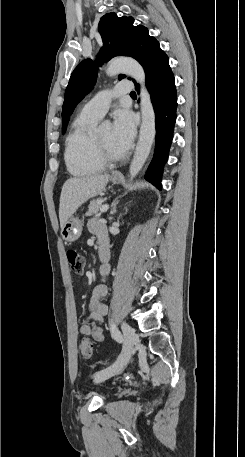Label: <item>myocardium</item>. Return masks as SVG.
<instances>
[{
    "label": "myocardium",
    "instance_id": "1",
    "mask_svg": "<svg viewBox=\"0 0 245 457\" xmlns=\"http://www.w3.org/2000/svg\"><path fill=\"white\" fill-rule=\"evenodd\" d=\"M87 155L94 163L102 166L120 161L126 157V154L124 153L120 155L102 153L97 144L96 135L94 132H91L87 138Z\"/></svg>",
    "mask_w": 245,
    "mask_h": 457
}]
</instances>
